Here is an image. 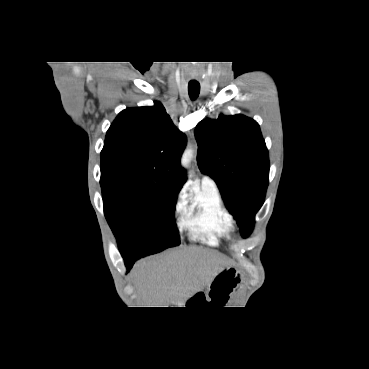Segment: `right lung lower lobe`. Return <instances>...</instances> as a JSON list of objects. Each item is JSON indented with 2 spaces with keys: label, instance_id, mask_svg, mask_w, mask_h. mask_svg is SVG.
<instances>
[{
  "label": "right lung lower lobe",
  "instance_id": "1",
  "mask_svg": "<svg viewBox=\"0 0 369 369\" xmlns=\"http://www.w3.org/2000/svg\"><path fill=\"white\" fill-rule=\"evenodd\" d=\"M136 260L137 259H125V265L128 270H130Z\"/></svg>",
  "mask_w": 369,
  "mask_h": 369
}]
</instances>
